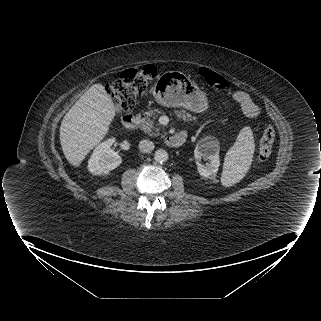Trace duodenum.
<instances>
[{
	"mask_svg": "<svg viewBox=\"0 0 321 321\" xmlns=\"http://www.w3.org/2000/svg\"><path fill=\"white\" fill-rule=\"evenodd\" d=\"M122 125L127 130H132L137 125V118L132 114H125L122 117ZM186 141V136L183 134L170 135L166 138V144L170 147H179Z\"/></svg>",
	"mask_w": 321,
	"mask_h": 321,
	"instance_id": "obj_1",
	"label": "duodenum"
}]
</instances>
